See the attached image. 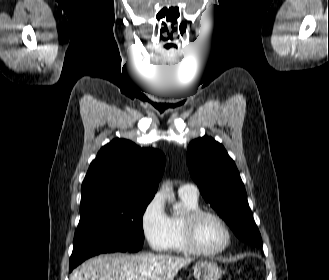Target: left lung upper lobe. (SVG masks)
Returning <instances> with one entry per match:
<instances>
[{
	"mask_svg": "<svg viewBox=\"0 0 329 280\" xmlns=\"http://www.w3.org/2000/svg\"><path fill=\"white\" fill-rule=\"evenodd\" d=\"M191 177L205 201L224 218L242 241L262 246L259 230L247 201V194L234 161L211 137L193 140L187 151Z\"/></svg>",
	"mask_w": 329,
	"mask_h": 280,
	"instance_id": "1",
	"label": "left lung upper lobe"
}]
</instances>
